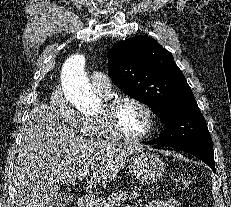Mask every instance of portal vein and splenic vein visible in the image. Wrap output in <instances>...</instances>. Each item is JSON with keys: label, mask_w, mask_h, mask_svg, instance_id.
Returning a JSON list of instances; mask_svg holds the SVG:
<instances>
[{"label": "portal vein and splenic vein", "mask_w": 231, "mask_h": 207, "mask_svg": "<svg viewBox=\"0 0 231 207\" xmlns=\"http://www.w3.org/2000/svg\"><path fill=\"white\" fill-rule=\"evenodd\" d=\"M88 174L83 175L82 179H87Z\"/></svg>", "instance_id": "18ae733b"}]
</instances>
